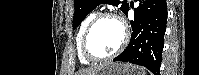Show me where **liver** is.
Listing matches in <instances>:
<instances>
[{
  "instance_id": "obj_1",
  "label": "liver",
  "mask_w": 199,
  "mask_h": 75,
  "mask_svg": "<svg viewBox=\"0 0 199 75\" xmlns=\"http://www.w3.org/2000/svg\"><path fill=\"white\" fill-rule=\"evenodd\" d=\"M104 66H97L94 68H90L87 70L79 71L77 75H95L98 71H100Z\"/></svg>"
}]
</instances>
